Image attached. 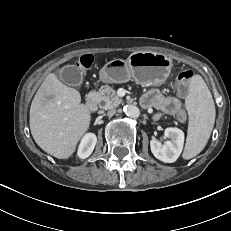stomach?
<instances>
[{
  "instance_id": "stomach-1",
  "label": "stomach",
  "mask_w": 231,
  "mask_h": 231,
  "mask_svg": "<svg viewBox=\"0 0 231 231\" xmlns=\"http://www.w3.org/2000/svg\"><path fill=\"white\" fill-rule=\"evenodd\" d=\"M172 61L158 52L139 51L126 60L114 59L100 70V79L105 83H124L130 79L144 86L162 84L169 76Z\"/></svg>"
}]
</instances>
